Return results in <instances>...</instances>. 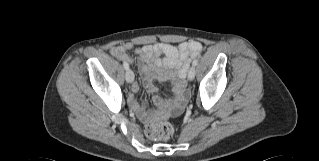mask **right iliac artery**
Segmentation results:
<instances>
[{
  "instance_id": "1",
  "label": "right iliac artery",
  "mask_w": 319,
  "mask_h": 161,
  "mask_svg": "<svg viewBox=\"0 0 319 161\" xmlns=\"http://www.w3.org/2000/svg\"><path fill=\"white\" fill-rule=\"evenodd\" d=\"M123 66L126 70L129 68V64L127 62H123Z\"/></svg>"
}]
</instances>
